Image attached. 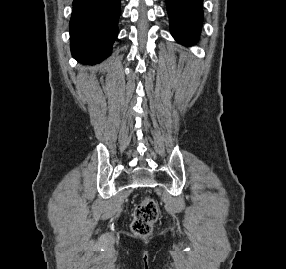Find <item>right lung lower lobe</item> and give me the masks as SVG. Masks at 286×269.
I'll return each instance as SVG.
<instances>
[{"mask_svg": "<svg viewBox=\"0 0 286 269\" xmlns=\"http://www.w3.org/2000/svg\"><path fill=\"white\" fill-rule=\"evenodd\" d=\"M120 0H74L70 26L73 57L95 64L111 54L118 34Z\"/></svg>", "mask_w": 286, "mask_h": 269, "instance_id": "obj_1", "label": "right lung lower lobe"}]
</instances>
